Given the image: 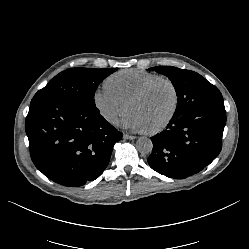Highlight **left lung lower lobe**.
<instances>
[{
	"mask_svg": "<svg viewBox=\"0 0 249 249\" xmlns=\"http://www.w3.org/2000/svg\"><path fill=\"white\" fill-rule=\"evenodd\" d=\"M225 124L224 103L173 116L164 131L151 137L153 150L148 164L158 173L174 179L198 173L220 153Z\"/></svg>",
	"mask_w": 249,
	"mask_h": 249,
	"instance_id": "0a47b994",
	"label": "left lung lower lobe"
}]
</instances>
